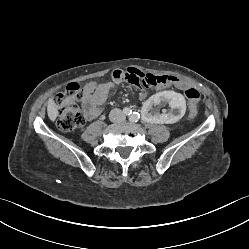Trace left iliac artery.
Returning a JSON list of instances; mask_svg holds the SVG:
<instances>
[{
	"mask_svg": "<svg viewBox=\"0 0 249 249\" xmlns=\"http://www.w3.org/2000/svg\"><path fill=\"white\" fill-rule=\"evenodd\" d=\"M140 118V115L138 112H133V114L130 117V121L137 122V120Z\"/></svg>",
	"mask_w": 249,
	"mask_h": 249,
	"instance_id": "44dca946",
	"label": "left iliac artery"
}]
</instances>
